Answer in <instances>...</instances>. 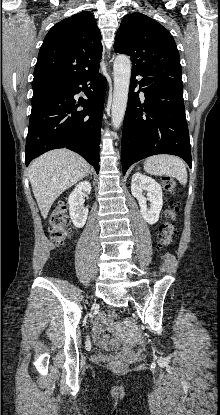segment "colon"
<instances>
[{
	"instance_id": "5ec220e1",
	"label": "colon",
	"mask_w": 220,
	"mask_h": 415,
	"mask_svg": "<svg viewBox=\"0 0 220 415\" xmlns=\"http://www.w3.org/2000/svg\"><path fill=\"white\" fill-rule=\"evenodd\" d=\"M162 185L168 192H174L176 190V182L171 178H163ZM67 202L61 201L51 212L49 219V229L51 239L62 244L66 242L71 234V229L67 220ZM176 220V211L174 209H168L165 212L163 222L159 226V243L161 247H168L174 238L175 228L174 223ZM118 317V312L111 309L107 312V318L109 321H115ZM110 366L117 370H123L127 367V363L121 359H115L110 363Z\"/></svg>"
}]
</instances>
